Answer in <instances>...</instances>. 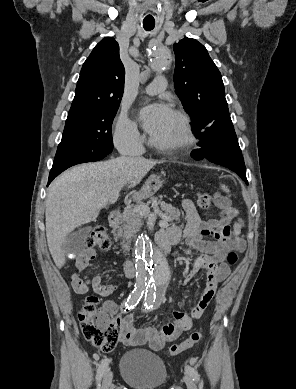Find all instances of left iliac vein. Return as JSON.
I'll use <instances>...</instances> for the list:
<instances>
[{
	"mask_svg": "<svg viewBox=\"0 0 296 389\" xmlns=\"http://www.w3.org/2000/svg\"><path fill=\"white\" fill-rule=\"evenodd\" d=\"M184 382L186 383L188 389H197L194 380L189 374L184 375Z\"/></svg>",
	"mask_w": 296,
	"mask_h": 389,
	"instance_id": "1",
	"label": "left iliac vein"
}]
</instances>
